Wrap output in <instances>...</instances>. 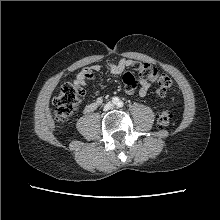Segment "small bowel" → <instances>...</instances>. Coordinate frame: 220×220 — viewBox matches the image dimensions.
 <instances>
[{"instance_id": "obj_1", "label": "small bowel", "mask_w": 220, "mask_h": 220, "mask_svg": "<svg viewBox=\"0 0 220 220\" xmlns=\"http://www.w3.org/2000/svg\"><path fill=\"white\" fill-rule=\"evenodd\" d=\"M132 64V61L128 59H121L118 62H111L106 64L105 69L114 75L121 74L124 69ZM101 70V66L99 65H94L91 66L90 68H85L83 69L80 73L77 74L76 78L74 79V84L79 86V87H84L87 83V81L91 80L93 78V75L95 72H98ZM150 88V84L147 80L140 79L139 81V90L138 94L141 97L146 96ZM126 92L128 94H134L136 89H128L125 88ZM103 103V98L102 97H97L95 100L85 104L83 106V112L84 113H91L98 109Z\"/></svg>"}]
</instances>
